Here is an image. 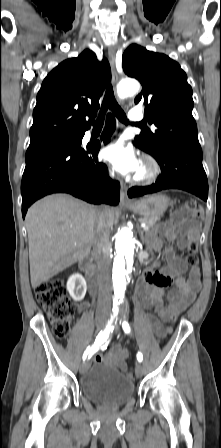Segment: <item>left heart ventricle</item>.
<instances>
[{
  "instance_id": "obj_1",
  "label": "left heart ventricle",
  "mask_w": 221,
  "mask_h": 448,
  "mask_svg": "<svg viewBox=\"0 0 221 448\" xmlns=\"http://www.w3.org/2000/svg\"><path fill=\"white\" fill-rule=\"evenodd\" d=\"M141 170H142V168H140L139 172H141ZM139 172H138V173H139Z\"/></svg>"
}]
</instances>
